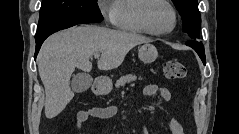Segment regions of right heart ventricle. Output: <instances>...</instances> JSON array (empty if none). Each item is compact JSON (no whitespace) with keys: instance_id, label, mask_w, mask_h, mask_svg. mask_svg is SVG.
Returning <instances> with one entry per match:
<instances>
[{"instance_id":"right-heart-ventricle-1","label":"right heart ventricle","mask_w":239,"mask_h":134,"mask_svg":"<svg viewBox=\"0 0 239 134\" xmlns=\"http://www.w3.org/2000/svg\"><path fill=\"white\" fill-rule=\"evenodd\" d=\"M144 0H117L115 1V26L123 31L147 33L139 19V11Z\"/></svg>"}]
</instances>
